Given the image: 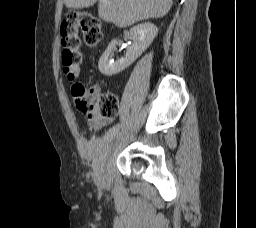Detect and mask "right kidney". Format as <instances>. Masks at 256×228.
Instances as JSON below:
<instances>
[{"instance_id": "right-kidney-1", "label": "right kidney", "mask_w": 256, "mask_h": 228, "mask_svg": "<svg viewBox=\"0 0 256 228\" xmlns=\"http://www.w3.org/2000/svg\"><path fill=\"white\" fill-rule=\"evenodd\" d=\"M158 33V28L152 23H142L130 29L133 44L127 49L126 55L117 61L110 59L116 49L117 40H113L101 56L98 68L105 76L120 73L129 67L149 47Z\"/></svg>"}]
</instances>
